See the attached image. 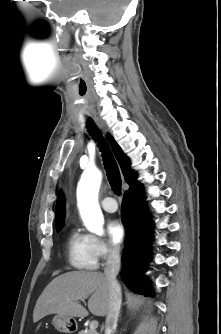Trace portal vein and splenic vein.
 Segmentation results:
<instances>
[{
	"instance_id": "portal-vein-and-splenic-vein-1",
	"label": "portal vein and splenic vein",
	"mask_w": 221,
	"mask_h": 334,
	"mask_svg": "<svg viewBox=\"0 0 221 334\" xmlns=\"http://www.w3.org/2000/svg\"><path fill=\"white\" fill-rule=\"evenodd\" d=\"M98 327V321L94 320L90 323V330L94 331Z\"/></svg>"
}]
</instances>
